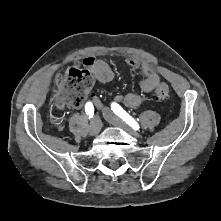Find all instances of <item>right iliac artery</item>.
I'll use <instances>...</instances> for the list:
<instances>
[{
  "label": "right iliac artery",
  "instance_id": "82829eb1",
  "mask_svg": "<svg viewBox=\"0 0 221 221\" xmlns=\"http://www.w3.org/2000/svg\"><path fill=\"white\" fill-rule=\"evenodd\" d=\"M85 112L89 118H92L94 115V106L91 102H87L85 105Z\"/></svg>",
  "mask_w": 221,
  "mask_h": 221
}]
</instances>
